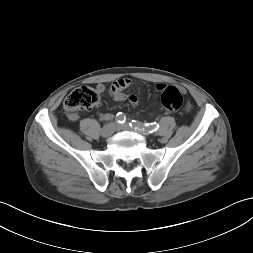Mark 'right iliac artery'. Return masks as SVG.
I'll list each match as a JSON object with an SVG mask.
<instances>
[{
  "instance_id": "82829eb1",
  "label": "right iliac artery",
  "mask_w": 253,
  "mask_h": 253,
  "mask_svg": "<svg viewBox=\"0 0 253 253\" xmlns=\"http://www.w3.org/2000/svg\"><path fill=\"white\" fill-rule=\"evenodd\" d=\"M115 120L119 124H124L126 121V116L124 115V113L119 112L117 113Z\"/></svg>"
}]
</instances>
